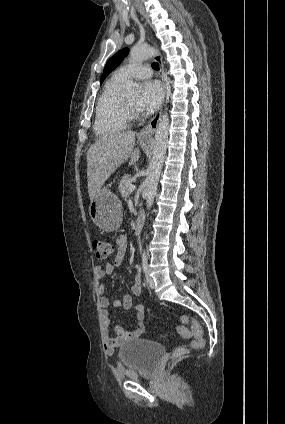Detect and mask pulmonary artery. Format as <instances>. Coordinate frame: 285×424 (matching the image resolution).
Listing matches in <instances>:
<instances>
[{
  "label": "pulmonary artery",
  "mask_w": 285,
  "mask_h": 424,
  "mask_svg": "<svg viewBox=\"0 0 285 424\" xmlns=\"http://www.w3.org/2000/svg\"><path fill=\"white\" fill-rule=\"evenodd\" d=\"M115 74L124 80L129 78L145 79L151 76V69L143 65H125L120 67Z\"/></svg>",
  "instance_id": "obj_1"
}]
</instances>
